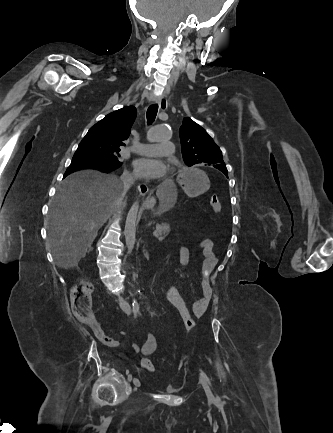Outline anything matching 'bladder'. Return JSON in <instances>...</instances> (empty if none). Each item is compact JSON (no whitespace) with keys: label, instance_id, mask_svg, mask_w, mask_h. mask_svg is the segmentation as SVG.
Masks as SVG:
<instances>
[{"label":"bladder","instance_id":"bladder-1","mask_svg":"<svg viewBox=\"0 0 333 433\" xmlns=\"http://www.w3.org/2000/svg\"><path fill=\"white\" fill-rule=\"evenodd\" d=\"M164 391L168 394H174L178 392V388L173 385H168L165 387Z\"/></svg>","mask_w":333,"mask_h":433}]
</instances>
